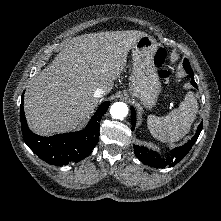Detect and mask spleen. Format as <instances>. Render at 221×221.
<instances>
[{
	"label": "spleen",
	"mask_w": 221,
	"mask_h": 221,
	"mask_svg": "<svg viewBox=\"0 0 221 221\" xmlns=\"http://www.w3.org/2000/svg\"><path fill=\"white\" fill-rule=\"evenodd\" d=\"M197 111V100L192 92H188L179 107L165 117L149 115L147 126L154 138L161 142H175L189 132Z\"/></svg>",
	"instance_id": "spleen-1"
}]
</instances>
